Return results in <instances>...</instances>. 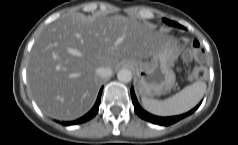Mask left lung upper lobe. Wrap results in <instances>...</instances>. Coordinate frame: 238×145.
Wrapping results in <instances>:
<instances>
[{"label": "left lung upper lobe", "mask_w": 238, "mask_h": 145, "mask_svg": "<svg viewBox=\"0 0 238 145\" xmlns=\"http://www.w3.org/2000/svg\"><path fill=\"white\" fill-rule=\"evenodd\" d=\"M163 21L165 22V23H167V24H169V25H171V26H176V27H179V24L178 23H176V22H174V21H170V20H168V19H163Z\"/></svg>", "instance_id": "left-lung-upper-lobe-1"}]
</instances>
